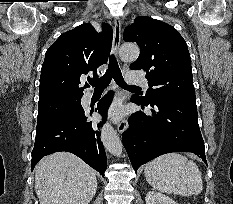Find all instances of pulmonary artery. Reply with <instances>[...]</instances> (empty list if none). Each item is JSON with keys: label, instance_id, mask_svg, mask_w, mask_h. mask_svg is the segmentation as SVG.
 <instances>
[{"label": "pulmonary artery", "instance_id": "obj_1", "mask_svg": "<svg viewBox=\"0 0 233 204\" xmlns=\"http://www.w3.org/2000/svg\"><path fill=\"white\" fill-rule=\"evenodd\" d=\"M127 81L130 84L142 85V86L148 87L146 79L143 76L138 75V74H133V73L127 74ZM91 97H92L91 93H86L84 98L85 100H88Z\"/></svg>", "mask_w": 233, "mask_h": 204}]
</instances>
